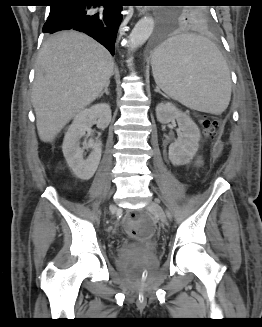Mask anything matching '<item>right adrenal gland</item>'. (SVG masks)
<instances>
[{
  "label": "right adrenal gland",
  "instance_id": "1",
  "mask_svg": "<svg viewBox=\"0 0 262 327\" xmlns=\"http://www.w3.org/2000/svg\"><path fill=\"white\" fill-rule=\"evenodd\" d=\"M108 86H109V84H107V85L105 86L104 90L100 93L99 98H101V97L104 95V93H105L106 95H109Z\"/></svg>",
  "mask_w": 262,
  "mask_h": 327
}]
</instances>
